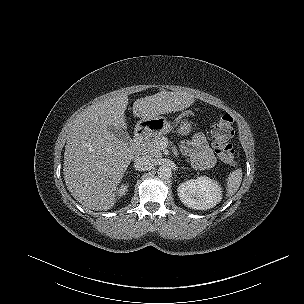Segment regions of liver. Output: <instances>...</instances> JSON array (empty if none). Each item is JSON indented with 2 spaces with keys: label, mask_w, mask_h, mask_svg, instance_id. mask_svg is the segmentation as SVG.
<instances>
[{
  "label": "liver",
  "mask_w": 304,
  "mask_h": 304,
  "mask_svg": "<svg viewBox=\"0 0 304 304\" xmlns=\"http://www.w3.org/2000/svg\"><path fill=\"white\" fill-rule=\"evenodd\" d=\"M128 95L98 102L83 111L71 127L65 146L63 174L72 197L87 211H107L119 198V185L134 158L128 135ZM194 95L161 92L137 99L133 115L140 121L184 111Z\"/></svg>",
  "instance_id": "1"
}]
</instances>
